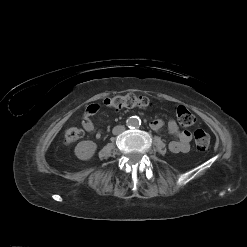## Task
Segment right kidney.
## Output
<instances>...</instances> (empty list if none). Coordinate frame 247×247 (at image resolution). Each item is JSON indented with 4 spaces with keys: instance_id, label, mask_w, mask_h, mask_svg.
<instances>
[{
    "instance_id": "ca27d5eb",
    "label": "right kidney",
    "mask_w": 247,
    "mask_h": 247,
    "mask_svg": "<svg viewBox=\"0 0 247 247\" xmlns=\"http://www.w3.org/2000/svg\"><path fill=\"white\" fill-rule=\"evenodd\" d=\"M96 149H97L96 143L87 140V141L79 142L75 147L74 152L77 158H79L80 160H88L92 158Z\"/></svg>"
}]
</instances>
